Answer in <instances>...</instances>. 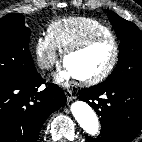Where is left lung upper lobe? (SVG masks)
Instances as JSON below:
<instances>
[{
    "mask_svg": "<svg viewBox=\"0 0 142 142\" xmlns=\"http://www.w3.org/2000/svg\"><path fill=\"white\" fill-rule=\"evenodd\" d=\"M104 11L110 14L120 45L117 66L103 83L142 81V32L113 11Z\"/></svg>",
    "mask_w": 142,
    "mask_h": 142,
    "instance_id": "1",
    "label": "left lung upper lobe"
}]
</instances>
